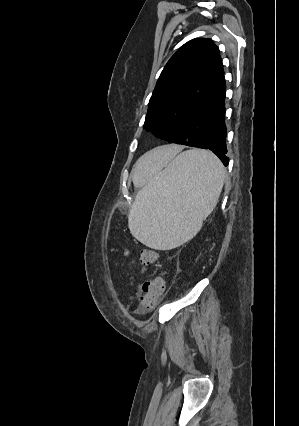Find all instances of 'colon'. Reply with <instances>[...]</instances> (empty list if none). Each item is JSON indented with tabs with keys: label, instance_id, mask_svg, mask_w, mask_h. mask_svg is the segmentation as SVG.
<instances>
[{
	"label": "colon",
	"instance_id": "obj_1",
	"mask_svg": "<svg viewBox=\"0 0 299 426\" xmlns=\"http://www.w3.org/2000/svg\"><path fill=\"white\" fill-rule=\"evenodd\" d=\"M159 254L153 249H144L140 252V263L151 265L157 262ZM166 289L165 274L158 273L153 278L146 280L138 294L139 308L143 313L152 311L157 305Z\"/></svg>",
	"mask_w": 299,
	"mask_h": 426
}]
</instances>
